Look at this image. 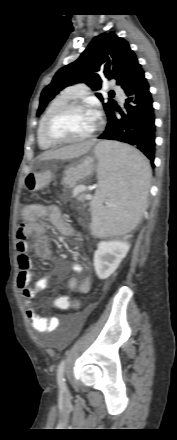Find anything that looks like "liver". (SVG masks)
<instances>
[{"label": "liver", "instance_id": "obj_1", "mask_svg": "<svg viewBox=\"0 0 177 440\" xmlns=\"http://www.w3.org/2000/svg\"><path fill=\"white\" fill-rule=\"evenodd\" d=\"M94 145L93 141H85L77 144L68 145L58 150L44 153L42 160L50 159H72L87 153Z\"/></svg>", "mask_w": 177, "mask_h": 440}]
</instances>
